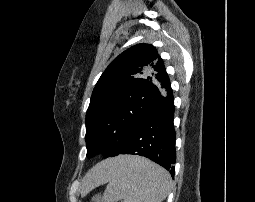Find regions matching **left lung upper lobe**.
Here are the masks:
<instances>
[{
	"instance_id": "5c2ea615",
	"label": "left lung upper lobe",
	"mask_w": 255,
	"mask_h": 202,
	"mask_svg": "<svg viewBox=\"0 0 255 202\" xmlns=\"http://www.w3.org/2000/svg\"><path fill=\"white\" fill-rule=\"evenodd\" d=\"M172 94L154 46L135 45L116 57L99 78L86 114L87 156H116L143 119Z\"/></svg>"
}]
</instances>
